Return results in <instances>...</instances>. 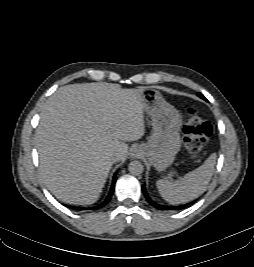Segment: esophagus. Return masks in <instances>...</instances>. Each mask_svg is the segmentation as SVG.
Segmentation results:
<instances>
[{
  "instance_id": "34e87169",
  "label": "esophagus",
  "mask_w": 254,
  "mask_h": 267,
  "mask_svg": "<svg viewBox=\"0 0 254 267\" xmlns=\"http://www.w3.org/2000/svg\"><path fill=\"white\" fill-rule=\"evenodd\" d=\"M140 156V152H139V149H134L133 152H132V157L134 158H138Z\"/></svg>"
}]
</instances>
